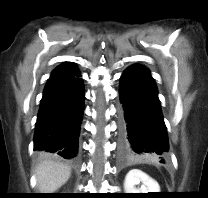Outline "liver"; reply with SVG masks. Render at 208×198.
<instances>
[{
  "mask_svg": "<svg viewBox=\"0 0 208 198\" xmlns=\"http://www.w3.org/2000/svg\"><path fill=\"white\" fill-rule=\"evenodd\" d=\"M35 174L39 191L53 193L68 181L71 168L64 163L43 161L37 166Z\"/></svg>",
  "mask_w": 208,
  "mask_h": 198,
  "instance_id": "6515ba94",
  "label": "liver"
}]
</instances>
